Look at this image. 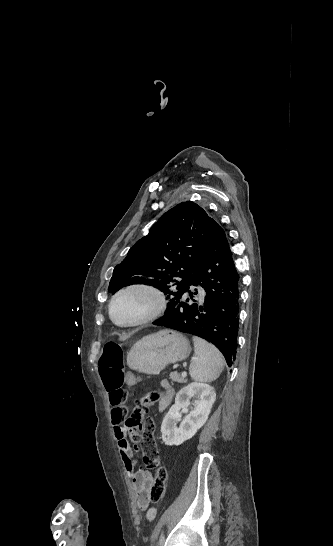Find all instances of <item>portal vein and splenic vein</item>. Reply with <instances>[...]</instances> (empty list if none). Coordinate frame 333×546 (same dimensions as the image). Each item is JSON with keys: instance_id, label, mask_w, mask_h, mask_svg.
I'll use <instances>...</instances> for the list:
<instances>
[{"instance_id": "18ae733b", "label": "portal vein and splenic vein", "mask_w": 333, "mask_h": 546, "mask_svg": "<svg viewBox=\"0 0 333 546\" xmlns=\"http://www.w3.org/2000/svg\"><path fill=\"white\" fill-rule=\"evenodd\" d=\"M186 375H187V373H186V372H183V373H182V376H183V377H185Z\"/></svg>"}]
</instances>
